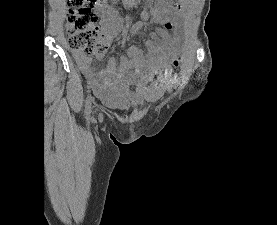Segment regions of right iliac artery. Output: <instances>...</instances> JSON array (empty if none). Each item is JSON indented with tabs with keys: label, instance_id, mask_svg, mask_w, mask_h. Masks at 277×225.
<instances>
[{
	"label": "right iliac artery",
	"instance_id": "obj_1",
	"mask_svg": "<svg viewBox=\"0 0 277 225\" xmlns=\"http://www.w3.org/2000/svg\"><path fill=\"white\" fill-rule=\"evenodd\" d=\"M90 109H91V100L88 97L86 99V111H85L87 117H89V115H90Z\"/></svg>",
	"mask_w": 277,
	"mask_h": 225
}]
</instances>
